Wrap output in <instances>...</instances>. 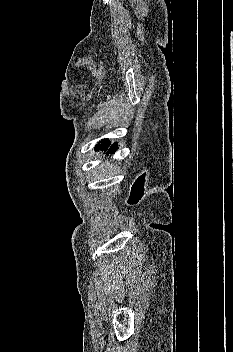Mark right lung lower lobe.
Returning a JSON list of instances; mask_svg holds the SVG:
<instances>
[{
  "instance_id": "1",
  "label": "right lung lower lobe",
  "mask_w": 233,
  "mask_h": 352,
  "mask_svg": "<svg viewBox=\"0 0 233 352\" xmlns=\"http://www.w3.org/2000/svg\"><path fill=\"white\" fill-rule=\"evenodd\" d=\"M110 146V142L108 141V139H103L101 140V143L95 146V151H99V150H104L106 151V154H114L116 149L118 148L117 143H114L110 146V148H108Z\"/></svg>"
}]
</instances>
